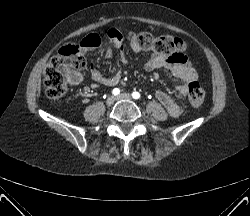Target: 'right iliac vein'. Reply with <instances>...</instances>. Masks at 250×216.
<instances>
[{"mask_svg": "<svg viewBox=\"0 0 250 216\" xmlns=\"http://www.w3.org/2000/svg\"><path fill=\"white\" fill-rule=\"evenodd\" d=\"M115 102V97L114 96H109L106 100V105L107 106H112Z\"/></svg>", "mask_w": 250, "mask_h": 216, "instance_id": "1", "label": "right iliac vein"}]
</instances>
